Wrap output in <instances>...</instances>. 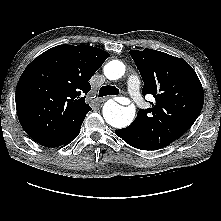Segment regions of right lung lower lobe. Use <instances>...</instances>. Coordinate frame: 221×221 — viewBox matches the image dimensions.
<instances>
[{"label":"right lung lower lobe","instance_id":"98d812e1","mask_svg":"<svg viewBox=\"0 0 221 221\" xmlns=\"http://www.w3.org/2000/svg\"><path fill=\"white\" fill-rule=\"evenodd\" d=\"M79 133V132H78ZM78 133L73 137V138H71L69 141H67L65 144H63V145H67V144H69L73 139H75V137L78 135Z\"/></svg>","mask_w":221,"mask_h":221}]
</instances>
